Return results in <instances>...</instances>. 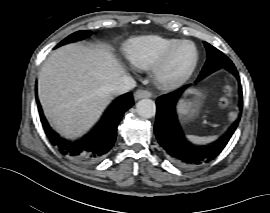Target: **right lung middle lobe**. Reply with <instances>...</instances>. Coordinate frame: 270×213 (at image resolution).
<instances>
[{
	"mask_svg": "<svg viewBox=\"0 0 270 213\" xmlns=\"http://www.w3.org/2000/svg\"><path fill=\"white\" fill-rule=\"evenodd\" d=\"M91 34H92L91 31L75 32V33L71 34L70 36H68L67 38H65L62 42H60L55 48L60 47V46L67 44L69 42L85 39V38L89 37Z\"/></svg>",
	"mask_w": 270,
	"mask_h": 213,
	"instance_id": "obj_1",
	"label": "right lung middle lobe"
}]
</instances>
